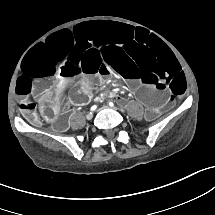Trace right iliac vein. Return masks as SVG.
Instances as JSON below:
<instances>
[{"label": "right iliac vein", "instance_id": "right-iliac-vein-1", "mask_svg": "<svg viewBox=\"0 0 215 215\" xmlns=\"http://www.w3.org/2000/svg\"><path fill=\"white\" fill-rule=\"evenodd\" d=\"M92 117H93V113H91V112H90L89 114L86 115V118H87L88 120L92 119Z\"/></svg>", "mask_w": 215, "mask_h": 215}]
</instances>
